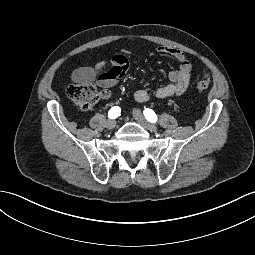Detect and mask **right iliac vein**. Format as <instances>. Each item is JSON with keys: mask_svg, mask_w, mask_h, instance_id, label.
<instances>
[{"mask_svg": "<svg viewBox=\"0 0 255 255\" xmlns=\"http://www.w3.org/2000/svg\"><path fill=\"white\" fill-rule=\"evenodd\" d=\"M106 126H107L108 129H113L116 126V121L115 120H109L107 122Z\"/></svg>", "mask_w": 255, "mask_h": 255, "instance_id": "63e3f726", "label": "right iliac vein"}]
</instances>
